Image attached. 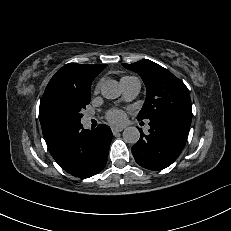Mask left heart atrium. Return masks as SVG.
Wrapping results in <instances>:
<instances>
[{"mask_svg":"<svg viewBox=\"0 0 231 231\" xmlns=\"http://www.w3.org/2000/svg\"><path fill=\"white\" fill-rule=\"evenodd\" d=\"M107 119L112 124L120 125L125 121V114L121 110L113 109L107 113Z\"/></svg>","mask_w":231,"mask_h":231,"instance_id":"left-heart-atrium-1","label":"left heart atrium"}]
</instances>
